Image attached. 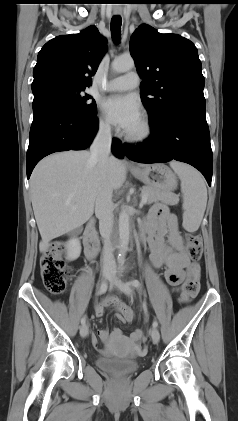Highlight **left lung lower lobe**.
I'll list each match as a JSON object with an SVG mask.
<instances>
[{"instance_id":"0a47b994","label":"left lung lower lobe","mask_w":238,"mask_h":421,"mask_svg":"<svg viewBox=\"0 0 238 421\" xmlns=\"http://www.w3.org/2000/svg\"><path fill=\"white\" fill-rule=\"evenodd\" d=\"M204 100H191L169 109L151 126L152 133L139 147H124L127 157L140 163L177 160L198 169L211 186L213 156Z\"/></svg>"}]
</instances>
